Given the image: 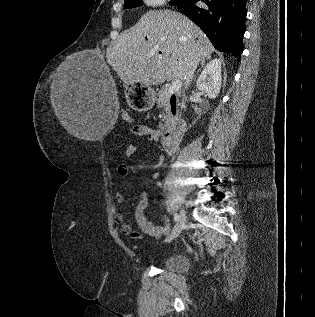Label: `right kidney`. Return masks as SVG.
Returning <instances> with one entry per match:
<instances>
[{"label": "right kidney", "instance_id": "1", "mask_svg": "<svg viewBox=\"0 0 315 317\" xmlns=\"http://www.w3.org/2000/svg\"><path fill=\"white\" fill-rule=\"evenodd\" d=\"M221 60L213 59L203 69L199 76L196 86L200 91H203L211 99L216 98L221 88ZM195 112L198 114L199 109L194 107Z\"/></svg>", "mask_w": 315, "mask_h": 317}]
</instances>
